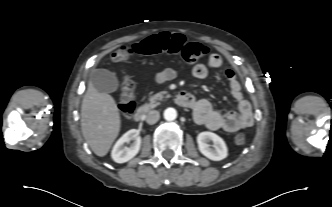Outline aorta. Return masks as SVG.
<instances>
[{
	"label": "aorta",
	"mask_w": 332,
	"mask_h": 207,
	"mask_svg": "<svg viewBox=\"0 0 332 207\" xmlns=\"http://www.w3.org/2000/svg\"><path fill=\"white\" fill-rule=\"evenodd\" d=\"M163 115L167 121H173L177 117V111L174 108H167Z\"/></svg>",
	"instance_id": "762f6f07"
}]
</instances>
